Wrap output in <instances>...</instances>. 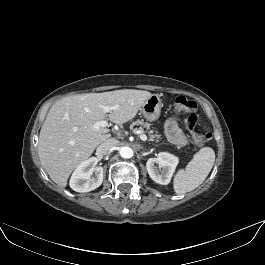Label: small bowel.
Listing matches in <instances>:
<instances>
[{
    "label": "small bowel",
    "mask_w": 265,
    "mask_h": 265,
    "mask_svg": "<svg viewBox=\"0 0 265 265\" xmlns=\"http://www.w3.org/2000/svg\"><path fill=\"white\" fill-rule=\"evenodd\" d=\"M165 132L168 139L177 146H185L188 140L178 125V119L173 117L167 120Z\"/></svg>",
    "instance_id": "small-bowel-1"
}]
</instances>
